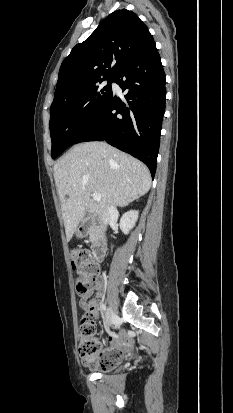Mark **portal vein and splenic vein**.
I'll return each mask as SVG.
<instances>
[{
  "label": "portal vein and splenic vein",
  "instance_id": "1",
  "mask_svg": "<svg viewBox=\"0 0 233 413\" xmlns=\"http://www.w3.org/2000/svg\"><path fill=\"white\" fill-rule=\"evenodd\" d=\"M92 198L94 201H97V202L101 201V195L98 193L92 194Z\"/></svg>",
  "mask_w": 233,
  "mask_h": 413
}]
</instances>
